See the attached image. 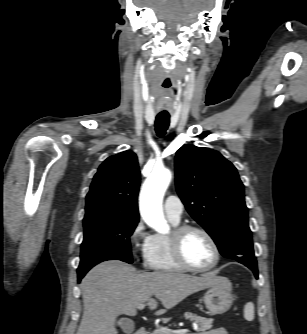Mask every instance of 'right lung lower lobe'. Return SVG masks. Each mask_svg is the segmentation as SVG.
<instances>
[{"label":"right lung lower lobe","mask_w":307,"mask_h":334,"mask_svg":"<svg viewBox=\"0 0 307 334\" xmlns=\"http://www.w3.org/2000/svg\"><path fill=\"white\" fill-rule=\"evenodd\" d=\"M84 275L78 274V281L80 282Z\"/></svg>","instance_id":"obj_1"}]
</instances>
